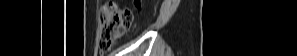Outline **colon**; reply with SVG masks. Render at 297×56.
<instances>
[{
    "instance_id": "5ec220e1",
    "label": "colon",
    "mask_w": 297,
    "mask_h": 56,
    "mask_svg": "<svg viewBox=\"0 0 297 56\" xmlns=\"http://www.w3.org/2000/svg\"><path fill=\"white\" fill-rule=\"evenodd\" d=\"M132 22L133 13L130 9H122L116 1L105 2L100 10V51H110L115 41L130 28Z\"/></svg>"
}]
</instances>
